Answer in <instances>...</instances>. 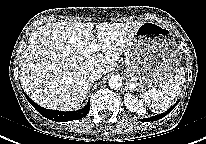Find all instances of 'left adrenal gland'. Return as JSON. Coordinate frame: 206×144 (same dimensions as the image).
I'll return each instance as SVG.
<instances>
[{
	"label": "left adrenal gland",
	"instance_id": "obj_1",
	"mask_svg": "<svg viewBox=\"0 0 206 144\" xmlns=\"http://www.w3.org/2000/svg\"><path fill=\"white\" fill-rule=\"evenodd\" d=\"M127 85H126V89H130V87H129V85H128V83H126Z\"/></svg>",
	"mask_w": 206,
	"mask_h": 144
}]
</instances>
